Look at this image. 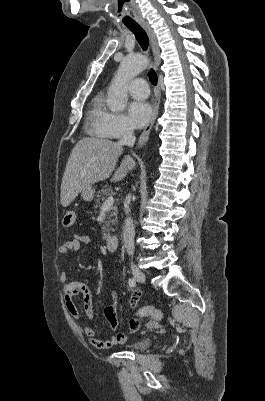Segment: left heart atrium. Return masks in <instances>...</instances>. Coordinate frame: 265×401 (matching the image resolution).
I'll use <instances>...</instances> for the list:
<instances>
[{
	"instance_id": "left-heart-atrium-1",
	"label": "left heart atrium",
	"mask_w": 265,
	"mask_h": 401,
	"mask_svg": "<svg viewBox=\"0 0 265 401\" xmlns=\"http://www.w3.org/2000/svg\"><path fill=\"white\" fill-rule=\"evenodd\" d=\"M127 114L132 124L141 128L149 122L152 109L150 104L145 101H131L127 106Z\"/></svg>"
}]
</instances>
